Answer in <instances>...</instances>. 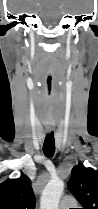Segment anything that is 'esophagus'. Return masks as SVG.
Masks as SVG:
<instances>
[{
	"label": "esophagus",
	"instance_id": "1",
	"mask_svg": "<svg viewBox=\"0 0 98 209\" xmlns=\"http://www.w3.org/2000/svg\"><path fill=\"white\" fill-rule=\"evenodd\" d=\"M47 131L50 132L51 131V128H47Z\"/></svg>",
	"mask_w": 98,
	"mask_h": 209
}]
</instances>
